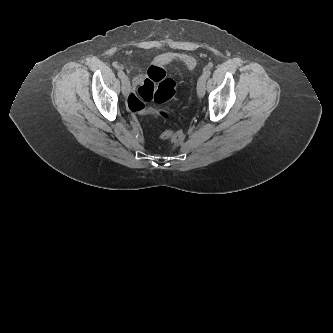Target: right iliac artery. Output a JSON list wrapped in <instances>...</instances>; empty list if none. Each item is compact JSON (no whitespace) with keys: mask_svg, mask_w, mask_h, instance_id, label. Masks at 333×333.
Instances as JSON below:
<instances>
[{"mask_svg":"<svg viewBox=\"0 0 333 333\" xmlns=\"http://www.w3.org/2000/svg\"><path fill=\"white\" fill-rule=\"evenodd\" d=\"M119 78L122 80V81H126L125 79V75L124 73L120 70L119 74H118Z\"/></svg>","mask_w":333,"mask_h":333,"instance_id":"1","label":"right iliac artery"}]
</instances>
